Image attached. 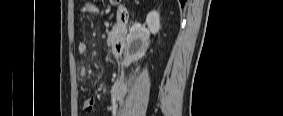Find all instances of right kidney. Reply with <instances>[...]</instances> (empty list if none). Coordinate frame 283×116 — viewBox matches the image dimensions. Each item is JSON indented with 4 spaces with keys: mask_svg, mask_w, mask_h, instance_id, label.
<instances>
[{
    "mask_svg": "<svg viewBox=\"0 0 283 116\" xmlns=\"http://www.w3.org/2000/svg\"><path fill=\"white\" fill-rule=\"evenodd\" d=\"M146 24L150 33L157 34L160 29V16L157 11H151L146 17ZM129 56L133 60H138L145 55L149 46V34L137 33L128 38Z\"/></svg>",
    "mask_w": 283,
    "mask_h": 116,
    "instance_id": "obj_1",
    "label": "right kidney"
}]
</instances>
